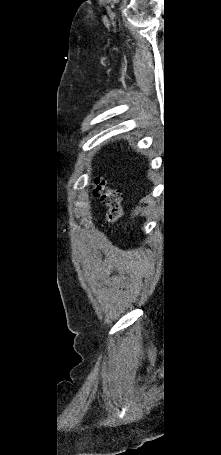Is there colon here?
I'll list each match as a JSON object with an SVG mask.
<instances>
[{
    "instance_id": "obj_1",
    "label": "colon",
    "mask_w": 221,
    "mask_h": 455,
    "mask_svg": "<svg viewBox=\"0 0 221 455\" xmlns=\"http://www.w3.org/2000/svg\"><path fill=\"white\" fill-rule=\"evenodd\" d=\"M93 195L99 198L107 207L106 220L108 222L117 220L121 214V193L116 189L108 187L106 181L100 178L95 182Z\"/></svg>"
}]
</instances>
